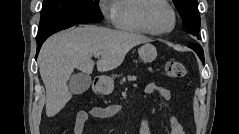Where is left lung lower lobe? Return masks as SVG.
Instances as JSON below:
<instances>
[{
    "instance_id": "0a47b994",
    "label": "left lung lower lobe",
    "mask_w": 239,
    "mask_h": 134,
    "mask_svg": "<svg viewBox=\"0 0 239 134\" xmlns=\"http://www.w3.org/2000/svg\"><path fill=\"white\" fill-rule=\"evenodd\" d=\"M189 47H190L191 49H193V50L197 53V55H198L199 58L201 59L202 63L204 64V60H203L204 54H203V49L201 48V46H200V45H197V44H194V43H191V44L189 45Z\"/></svg>"
}]
</instances>
